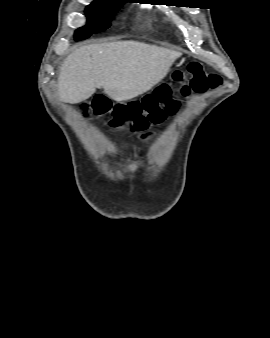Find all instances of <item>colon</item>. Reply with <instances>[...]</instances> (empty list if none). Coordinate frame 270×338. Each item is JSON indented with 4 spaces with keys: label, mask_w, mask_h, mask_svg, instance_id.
Here are the masks:
<instances>
[{
    "label": "colon",
    "mask_w": 270,
    "mask_h": 338,
    "mask_svg": "<svg viewBox=\"0 0 270 338\" xmlns=\"http://www.w3.org/2000/svg\"><path fill=\"white\" fill-rule=\"evenodd\" d=\"M191 74L189 84H186L185 74L177 71L173 75L175 82L181 84L180 93L189 94L190 90L198 93L206 91L208 88H216L221 80L215 74H204L201 65L193 61L188 65ZM172 89L169 85L162 84L158 86L151 94L146 95L142 100H133L127 104L118 103L115 105L120 112L128 113L135 118V128L137 130L145 129L149 124H160L168 115L173 114L177 109V103L172 98ZM111 103L108 97L102 93H96L90 104L84 108V116L89 113L100 115L108 112ZM121 119H115L114 126L121 125Z\"/></svg>",
    "instance_id": "obj_1"
}]
</instances>
